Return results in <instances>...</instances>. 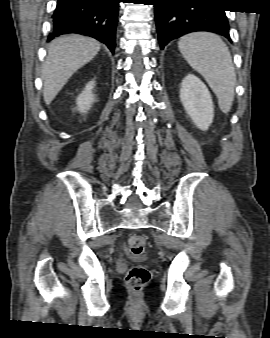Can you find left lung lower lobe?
Instances as JSON below:
<instances>
[{
	"instance_id": "left-lung-lower-lobe-1",
	"label": "left lung lower lobe",
	"mask_w": 270,
	"mask_h": 338,
	"mask_svg": "<svg viewBox=\"0 0 270 338\" xmlns=\"http://www.w3.org/2000/svg\"><path fill=\"white\" fill-rule=\"evenodd\" d=\"M160 48L184 34L209 31L229 41V24L217 0H153Z\"/></svg>"
}]
</instances>
